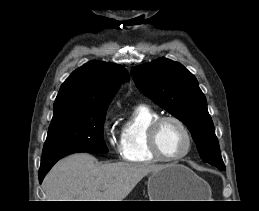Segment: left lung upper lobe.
<instances>
[{
  "mask_svg": "<svg viewBox=\"0 0 259 211\" xmlns=\"http://www.w3.org/2000/svg\"><path fill=\"white\" fill-rule=\"evenodd\" d=\"M138 88L191 132L202 160L223 170L219 143L198 81L180 63L158 58L131 71Z\"/></svg>",
  "mask_w": 259,
  "mask_h": 211,
  "instance_id": "obj_1",
  "label": "left lung upper lobe"
}]
</instances>
